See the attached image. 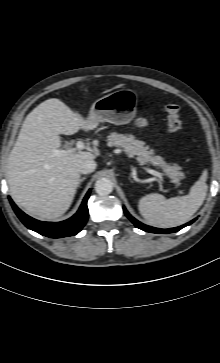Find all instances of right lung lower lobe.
Listing matches in <instances>:
<instances>
[{"mask_svg":"<svg viewBox=\"0 0 220 363\" xmlns=\"http://www.w3.org/2000/svg\"><path fill=\"white\" fill-rule=\"evenodd\" d=\"M89 190L86 196L83 199V202L77 211V213L71 218L62 221V222H42L36 219L31 218L22 212L9 197V201L19 217V219L23 222V224L29 229L36 231L37 233L51 237V238H62L67 236L76 235L85 225L88 219V208H87V200L90 195Z\"/></svg>","mask_w":220,"mask_h":363,"instance_id":"right-lung-lower-lobe-1","label":"right lung lower lobe"}]
</instances>
